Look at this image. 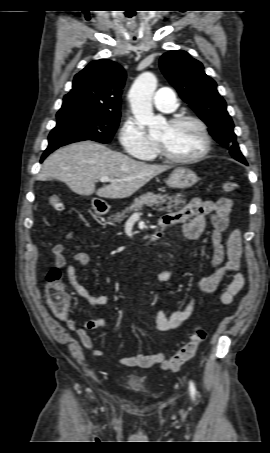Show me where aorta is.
<instances>
[{"instance_id":"762f6f07","label":"aorta","mask_w":270,"mask_h":453,"mask_svg":"<svg viewBox=\"0 0 270 453\" xmlns=\"http://www.w3.org/2000/svg\"><path fill=\"white\" fill-rule=\"evenodd\" d=\"M156 87L155 75L145 72L137 77L129 91L133 114L140 125L148 127L151 135L159 133L165 124L162 116H156L153 113L152 96Z\"/></svg>"}]
</instances>
